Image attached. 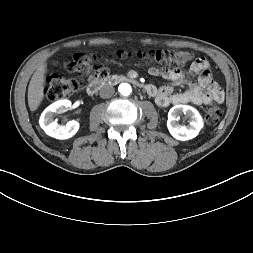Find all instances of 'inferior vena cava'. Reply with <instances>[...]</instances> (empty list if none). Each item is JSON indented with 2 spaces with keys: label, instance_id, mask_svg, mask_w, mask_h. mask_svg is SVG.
Here are the masks:
<instances>
[{
  "label": "inferior vena cava",
  "instance_id": "inferior-vena-cava-1",
  "mask_svg": "<svg viewBox=\"0 0 253 253\" xmlns=\"http://www.w3.org/2000/svg\"><path fill=\"white\" fill-rule=\"evenodd\" d=\"M114 92L115 90L112 86H103L99 91V95L101 98H110Z\"/></svg>",
  "mask_w": 253,
  "mask_h": 253
}]
</instances>
